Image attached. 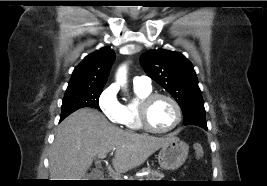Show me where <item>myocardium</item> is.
Segmentation results:
<instances>
[{"label": "myocardium", "mask_w": 267, "mask_h": 186, "mask_svg": "<svg viewBox=\"0 0 267 186\" xmlns=\"http://www.w3.org/2000/svg\"><path fill=\"white\" fill-rule=\"evenodd\" d=\"M159 98H164L168 100L173 105L175 109V113H176V118H175L174 123L170 127L165 128V129L154 128L149 121L150 107L152 103L156 99H159ZM138 117H139L141 127L144 130L151 132V133L164 134V133H168V132L175 130L179 126L182 120V110H181L179 103L169 94L151 92L140 100L139 106H138Z\"/></svg>", "instance_id": "obj_1"}]
</instances>
